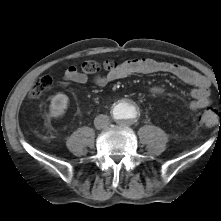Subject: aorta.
<instances>
[{"instance_id":"obj_1","label":"aorta","mask_w":221,"mask_h":221,"mask_svg":"<svg viewBox=\"0 0 221 221\" xmlns=\"http://www.w3.org/2000/svg\"><path fill=\"white\" fill-rule=\"evenodd\" d=\"M139 112V107L135 102L123 99L114 104L111 114L118 123L129 124L138 118Z\"/></svg>"}]
</instances>
